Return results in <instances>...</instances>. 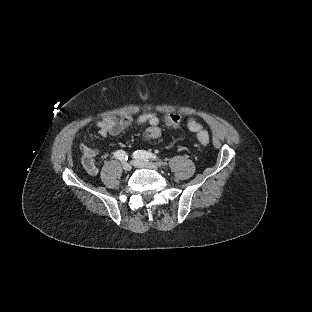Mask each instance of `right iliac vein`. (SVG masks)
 Here are the masks:
<instances>
[{"label": "right iliac vein", "mask_w": 312, "mask_h": 312, "mask_svg": "<svg viewBox=\"0 0 312 312\" xmlns=\"http://www.w3.org/2000/svg\"><path fill=\"white\" fill-rule=\"evenodd\" d=\"M122 168H123L124 171H130L132 169V166H131L130 163L125 162V163L122 164Z\"/></svg>", "instance_id": "63e3f726"}]
</instances>
